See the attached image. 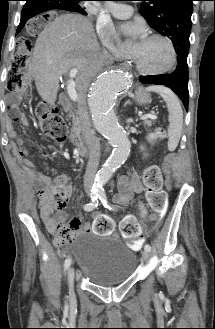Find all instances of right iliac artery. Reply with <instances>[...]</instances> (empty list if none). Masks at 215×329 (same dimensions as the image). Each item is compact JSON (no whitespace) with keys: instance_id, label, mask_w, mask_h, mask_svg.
Listing matches in <instances>:
<instances>
[{"instance_id":"1","label":"right iliac artery","mask_w":215,"mask_h":329,"mask_svg":"<svg viewBox=\"0 0 215 329\" xmlns=\"http://www.w3.org/2000/svg\"><path fill=\"white\" fill-rule=\"evenodd\" d=\"M98 206V190L91 189V202L84 205L85 211H92ZM71 264V258L68 257L64 263V269L67 270Z\"/></svg>"}]
</instances>
